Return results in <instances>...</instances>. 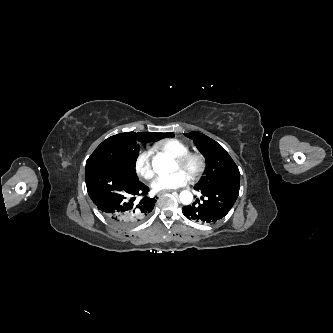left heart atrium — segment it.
<instances>
[{
	"instance_id": "obj_1",
	"label": "left heart atrium",
	"mask_w": 333,
	"mask_h": 333,
	"mask_svg": "<svg viewBox=\"0 0 333 333\" xmlns=\"http://www.w3.org/2000/svg\"><path fill=\"white\" fill-rule=\"evenodd\" d=\"M188 180H189L188 175L184 171L179 170L169 176L157 177L152 182L151 186L154 191L159 192V191L176 189L181 186H184L187 184Z\"/></svg>"
}]
</instances>
